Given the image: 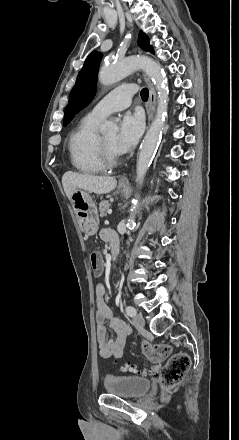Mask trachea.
Returning <instances> with one entry per match:
<instances>
[{
	"instance_id": "1",
	"label": "trachea",
	"mask_w": 239,
	"mask_h": 440,
	"mask_svg": "<svg viewBox=\"0 0 239 440\" xmlns=\"http://www.w3.org/2000/svg\"><path fill=\"white\" fill-rule=\"evenodd\" d=\"M141 98L143 100H147L148 99V89L147 88H143L141 90Z\"/></svg>"
}]
</instances>
